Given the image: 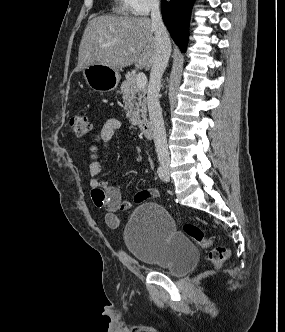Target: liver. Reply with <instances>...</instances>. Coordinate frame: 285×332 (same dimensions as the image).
<instances>
[{"mask_svg":"<svg viewBox=\"0 0 285 332\" xmlns=\"http://www.w3.org/2000/svg\"><path fill=\"white\" fill-rule=\"evenodd\" d=\"M155 55V35L149 18L99 16L85 28L75 70L79 72L93 64L117 69L133 63L138 69L148 70Z\"/></svg>","mask_w":285,"mask_h":332,"instance_id":"6515ba94","label":"liver"}]
</instances>
